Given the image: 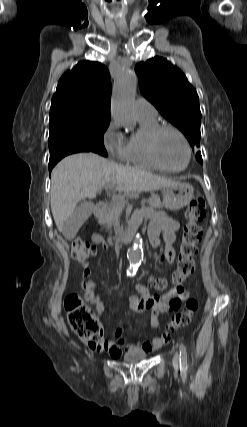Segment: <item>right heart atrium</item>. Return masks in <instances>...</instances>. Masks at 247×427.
Listing matches in <instances>:
<instances>
[{
	"instance_id": "obj_1",
	"label": "right heart atrium",
	"mask_w": 247,
	"mask_h": 427,
	"mask_svg": "<svg viewBox=\"0 0 247 427\" xmlns=\"http://www.w3.org/2000/svg\"><path fill=\"white\" fill-rule=\"evenodd\" d=\"M103 146L106 151L113 157L124 160L126 138L115 121L105 128L102 135Z\"/></svg>"
}]
</instances>
